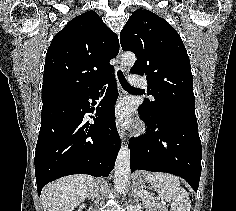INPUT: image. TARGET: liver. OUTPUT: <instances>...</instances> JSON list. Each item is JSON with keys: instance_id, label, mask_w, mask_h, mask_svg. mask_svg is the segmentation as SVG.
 <instances>
[{"instance_id": "liver-1", "label": "liver", "mask_w": 236, "mask_h": 211, "mask_svg": "<svg viewBox=\"0 0 236 211\" xmlns=\"http://www.w3.org/2000/svg\"><path fill=\"white\" fill-rule=\"evenodd\" d=\"M95 180L79 174L60 178L46 185L41 193L44 211H73L93 193Z\"/></svg>"}]
</instances>
